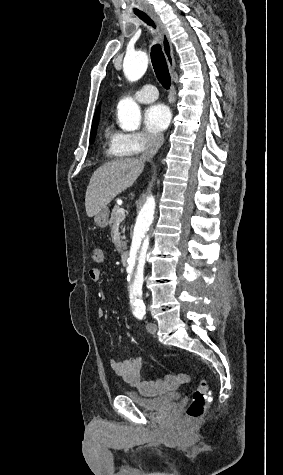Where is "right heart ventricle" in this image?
Listing matches in <instances>:
<instances>
[{
    "instance_id": "right-heart-ventricle-1",
    "label": "right heart ventricle",
    "mask_w": 283,
    "mask_h": 475,
    "mask_svg": "<svg viewBox=\"0 0 283 475\" xmlns=\"http://www.w3.org/2000/svg\"><path fill=\"white\" fill-rule=\"evenodd\" d=\"M101 133L104 139V145L107 149V153L110 157H115L113 153V142L119 134L115 125L111 121H106L101 129Z\"/></svg>"
}]
</instances>
